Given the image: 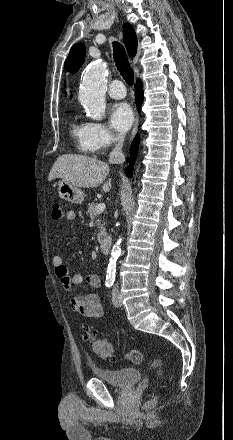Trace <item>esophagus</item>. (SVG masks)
<instances>
[{
    "instance_id": "1",
    "label": "esophagus",
    "mask_w": 233,
    "mask_h": 440,
    "mask_svg": "<svg viewBox=\"0 0 233 440\" xmlns=\"http://www.w3.org/2000/svg\"><path fill=\"white\" fill-rule=\"evenodd\" d=\"M137 129H138V120L136 121V124H135V126H134V129H133V131H132V137H131V138H133V137L135 136V134H136V132H137Z\"/></svg>"
}]
</instances>
